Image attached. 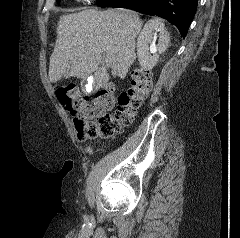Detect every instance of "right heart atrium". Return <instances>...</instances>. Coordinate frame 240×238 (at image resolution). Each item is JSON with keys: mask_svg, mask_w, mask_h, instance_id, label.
<instances>
[{"mask_svg": "<svg viewBox=\"0 0 240 238\" xmlns=\"http://www.w3.org/2000/svg\"><path fill=\"white\" fill-rule=\"evenodd\" d=\"M78 1L86 2V1H89V0H78Z\"/></svg>", "mask_w": 240, "mask_h": 238, "instance_id": "obj_1", "label": "right heart atrium"}]
</instances>
